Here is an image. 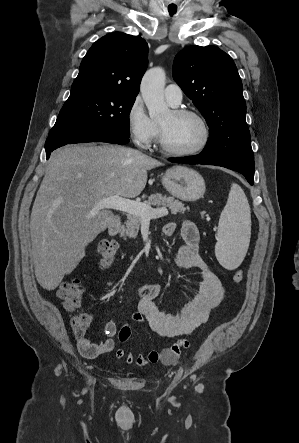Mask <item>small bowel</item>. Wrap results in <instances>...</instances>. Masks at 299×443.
<instances>
[{
    "instance_id": "1",
    "label": "small bowel",
    "mask_w": 299,
    "mask_h": 443,
    "mask_svg": "<svg viewBox=\"0 0 299 443\" xmlns=\"http://www.w3.org/2000/svg\"><path fill=\"white\" fill-rule=\"evenodd\" d=\"M175 224L168 223L164 233L171 236L175 232ZM183 244L175 254V264L181 269L198 268L201 271V282L198 292L187 302L181 311L169 312L162 309L157 299L161 288L155 283H145L139 288L140 301L136 311L127 324L118 327L114 321H108L104 327L107 339L100 343L89 341L84 335L78 337L80 354L87 359H93L103 354L115 352L118 360L128 365L136 364L144 367L149 363H157L161 356L158 351H151L147 356H137L124 349H115V337L125 343L131 336V325L146 322L152 331L164 338L187 337L195 329L205 323L210 312L221 304L226 297V289L218 275L207 265L199 252V232L189 220H184L181 226ZM92 317V315H90ZM187 339H180L169 348L172 359L179 356L182 349H187Z\"/></svg>"
}]
</instances>
